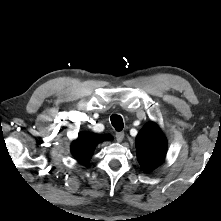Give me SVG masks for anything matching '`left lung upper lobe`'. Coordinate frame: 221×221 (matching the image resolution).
<instances>
[{"instance_id":"5c2ea615","label":"left lung upper lobe","mask_w":221,"mask_h":221,"mask_svg":"<svg viewBox=\"0 0 221 221\" xmlns=\"http://www.w3.org/2000/svg\"><path fill=\"white\" fill-rule=\"evenodd\" d=\"M136 147L141 167L149 172L164 160L167 141L160 128L155 123L149 122L138 133Z\"/></svg>"}]
</instances>
